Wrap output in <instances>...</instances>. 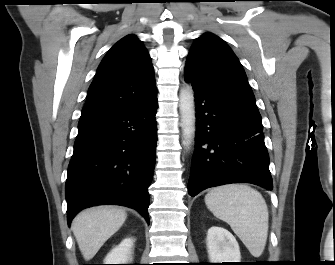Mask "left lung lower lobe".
Wrapping results in <instances>:
<instances>
[{"mask_svg":"<svg viewBox=\"0 0 335 265\" xmlns=\"http://www.w3.org/2000/svg\"><path fill=\"white\" fill-rule=\"evenodd\" d=\"M195 92L196 140L188 193L229 183H252L272 190L261 115L244 101L184 75Z\"/></svg>","mask_w":335,"mask_h":265,"instance_id":"1","label":"left lung lower lobe"}]
</instances>
